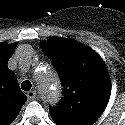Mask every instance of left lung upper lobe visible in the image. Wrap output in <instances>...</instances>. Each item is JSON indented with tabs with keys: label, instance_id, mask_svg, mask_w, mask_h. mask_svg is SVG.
<instances>
[{
	"label": "left lung upper lobe",
	"instance_id": "1",
	"mask_svg": "<svg viewBox=\"0 0 125 125\" xmlns=\"http://www.w3.org/2000/svg\"><path fill=\"white\" fill-rule=\"evenodd\" d=\"M62 83L63 97L49 107L58 125H91L107 106L111 82L102 58L91 48L71 39L53 37L41 43Z\"/></svg>",
	"mask_w": 125,
	"mask_h": 125
}]
</instances>
